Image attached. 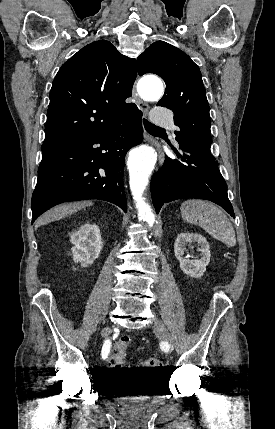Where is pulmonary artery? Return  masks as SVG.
<instances>
[{"mask_svg":"<svg viewBox=\"0 0 275 429\" xmlns=\"http://www.w3.org/2000/svg\"><path fill=\"white\" fill-rule=\"evenodd\" d=\"M151 120L157 126L174 128L172 117L161 108L153 110Z\"/></svg>","mask_w":275,"mask_h":429,"instance_id":"obj_1","label":"pulmonary artery"}]
</instances>
